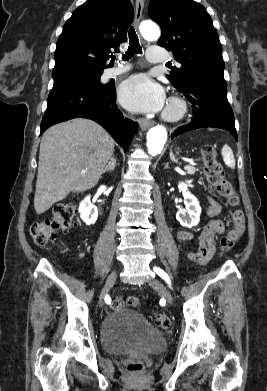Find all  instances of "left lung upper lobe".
I'll return each instance as SVG.
<instances>
[{
  "instance_id": "obj_1",
  "label": "left lung upper lobe",
  "mask_w": 267,
  "mask_h": 391,
  "mask_svg": "<svg viewBox=\"0 0 267 391\" xmlns=\"http://www.w3.org/2000/svg\"><path fill=\"white\" fill-rule=\"evenodd\" d=\"M149 17L161 27L158 45L172 51L181 64L166 75L174 87L199 77L225 81L219 37L202 5L193 0H151Z\"/></svg>"
}]
</instances>
